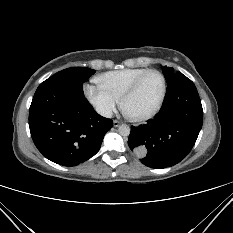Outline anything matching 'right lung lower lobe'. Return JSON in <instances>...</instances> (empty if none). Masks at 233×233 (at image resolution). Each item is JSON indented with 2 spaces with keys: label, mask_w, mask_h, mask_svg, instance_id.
Listing matches in <instances>:
<instances>
[{
  "label": "right lung lower lobe",
  "mask_w": 233,
  "mask_h": 233,
  "mask_svg": "<svg viewBox=\"0 0 233 233\" xmlns=\"http://www.w3.org/2000/svg\"><path fill=\"white\" fill-rule=\"evenodd\" d=\"M112 125L111 119L96 113L82 85L67 80H45L30 106L34 144L43 156L63 166H75L94 156Z\"/></svg>",
  "instance_id": "obj_1"
}]
</instances>
